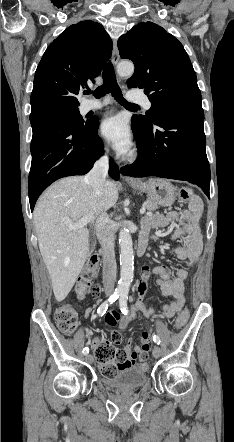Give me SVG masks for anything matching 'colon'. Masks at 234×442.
Masks as SVG:
<instances>
[{
    "label": "colon",
    "mask_w": 234,
    "mask_h": 442,
    "mask_svg": "<svg viewBox=\"0 0 234 442\" xmlns=\"http://www.w3.org/2000/svg\"><path fill=\"white\" fill-rule=\"evenodd\" d=\"M195 198L196 196L191 188L183 187L180 189L179 199L181 202H191ZM97 263V256L91 257V259L87 262L85 266L82 276L79 278L77 284V294L81 299L89 294L96 298L101 292V287L93 283V277L97 273ZM188 317V311H183L174 320L175 328L181 329L187 322ZM55 321L59 330L66 335L72 334L77 326L76 313L69 305H62L56 310ZM95 356L99 364L100 372L105 377H110L114 375L118 369L125 367L127 364L126 354L121 349H116L107 340H99L95 344ZM142 362V367L147 368V365L144 363V359L142 360Z\"/></svg>",
    "instance_id": "obj_1"
}]
</instances>
